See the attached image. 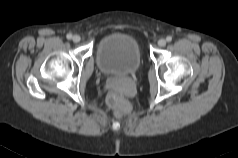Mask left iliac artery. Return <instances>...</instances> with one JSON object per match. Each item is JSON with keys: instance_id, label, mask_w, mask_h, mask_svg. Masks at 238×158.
<instances>
[{"instance_id": "obj_1", "label": "left iliac artery", "mask_w": 238, "mask_h": 158, "mask_svg": "<svg viewBox=\"0 0 238 158\" xmlns=\"http://www.w3.org/2000/svg\"><path fill=\"white\" fill-rule=\"evenodd\" d=\"M166 40H167L168 42H171V41H172V37H171V36H167V37H166Z\"/></svg>"}]
</instances>
